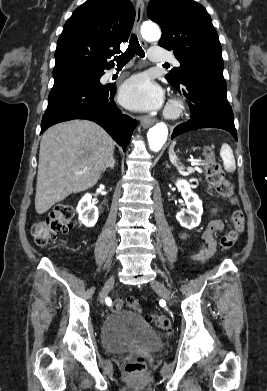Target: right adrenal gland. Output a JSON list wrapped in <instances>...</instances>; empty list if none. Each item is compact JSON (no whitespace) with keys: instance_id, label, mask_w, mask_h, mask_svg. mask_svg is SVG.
Returning a JSON list of instances; mask_svg holds the SVG:
<instances>
[{"instance_id":"2a0ac1e0","label":"right adrenal gland","mask_w":267,"mask_h":391,"mask_svg":"<svg viewBox=\"0 0 267 391\" xmlns=\"http://www.w3.org/2000/svg\"><path fill=\"white\" fill-rule=\"evenodd\" d=\"M114 165H115V159L111 157L110 160L107 162V164L104 166L103 172H105L107 168L113 169Z\"/></svg>"}]
</instances>
